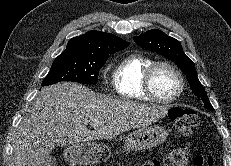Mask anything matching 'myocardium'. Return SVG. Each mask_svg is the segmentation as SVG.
Here are the masks:
<instances>
[{"label":"myocardium","instance_id":"f54148a6","mask_svg":"<svg viewBox=\"0 0 231 166\" xmlns=\"http://www.w3.org/2000/svg\"><path fill=\"white\" fill-rule=\"evenodd\" d=\"M161 66H165L171 69L177 76L178 82H179L177 92L175 93V95H173L171 98H168V99H163L159 97L153 89L152 79H153L154 72L158 67H161ZM184 88H185V79H184V76L181 70L176 65H174L173 63L169 61H154L146 68L144 72L143 90L151 100L157 103L171 104L175 102L182 95Z\"/></svg>","mask_w":231,"mask_h":166}]
</instances>
